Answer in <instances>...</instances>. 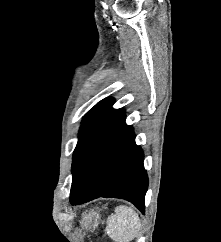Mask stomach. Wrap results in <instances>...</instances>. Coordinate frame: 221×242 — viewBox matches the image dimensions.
<instances>
[{"mask_svg":"<svg viewBox=\"0 0 221 242\" xmlns=\"http://www.w3.org/2000/svg\"><path fill=\"white\" fill-rule=\"evenodd\" d=\"M100 220V215L98 212L94 210H90L88 213H84L82 215V220L80 221V225L82 229L86 231H94Z\"/></svg>","mask_w":221,"mask_h":242,"instance_id":"0dacf381","label":"stomach"}]
</instances>
